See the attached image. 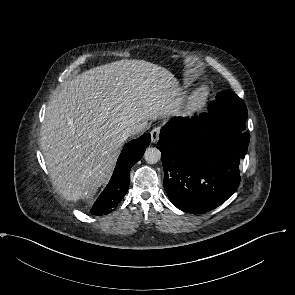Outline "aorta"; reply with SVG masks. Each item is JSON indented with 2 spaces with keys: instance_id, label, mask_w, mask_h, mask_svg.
Wrapping results in <instances>:
<instances>
[{
  "instance_id": "aorta-1",
  "label": "aorta",
  "mask_w": 295,
  "mask_h": 295,
  "mask_svg": "<svg viewBox=\"0 0 295 295\" xmlns=\"http://www.w3.org/2000/svg\"><path fill=\"white\" fill-rule=\"evenodd\" d=\"M144 159L149 164H155L161 159V152L158 148L149 147L144 153Z\"/></svg>"
}]
</instances>
